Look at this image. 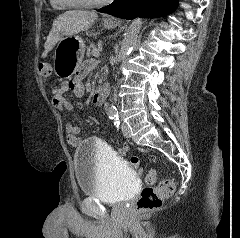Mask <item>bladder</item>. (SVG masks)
I'll return each mask as SVG.
<instances>
[{"label":"bladder","mask_w":240,"mask_h":238,"mask_svg":"<svg viewBox=\"0 0 240 238\" xmlns=\"http://www.w3.org/2000/svg\"><path fill=\"white\" fill-rule=\"evenodd\" d=\"M74 169L81 193L107 204L126 202L138 185L130 165L108 145L95 139H87L78 146Z\"/></svg>","instance_id":"31cf9c89"}]
</instances>
